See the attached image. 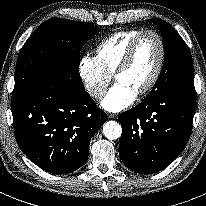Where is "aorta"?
Wrapping results in <instances>:
<instances>
[{
    "label": "aorta",
    "mask_w": 206,
    "mask_h": 206,
    "mask_svg": "<svg viewBox=\"0 0 206 206\" xmlns=\"http://www.w3.org/2000/svg\"><path fill=\"white\" fill-rule=\"evenodd\" d=\"M103 133L109 140H116L121 136L122 127L116 121H107L103 125Z\"/></svg>",
    "instance_id": "1"
}]
</instances>
